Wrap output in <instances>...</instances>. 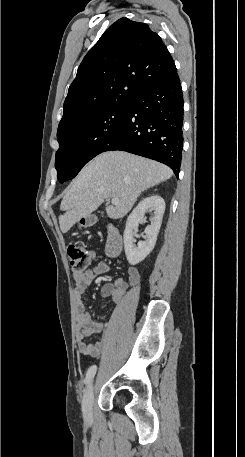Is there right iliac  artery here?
Instances as JSON below:
<instances>
[{"label":"right iliac artery","mask_w":245,"mask_h":457,"mask_svg":"<svg viewBox=\"0 0 245 457\" xmlns=\"http://www.w3.org/2000/svg\"><path fill=\"white\" fill-rule=\"evenodd\" d=\"M96 365H92L88 371H87V374H86V379H85V384L86 386L89 385V383L91 382L92 378L94 377L95 373H96Z\"/></svg>","instance_id":"right-iliac-artery-1"}]
</instances>
